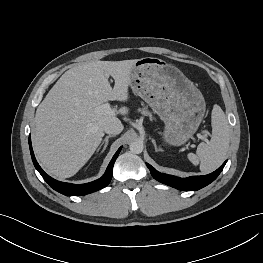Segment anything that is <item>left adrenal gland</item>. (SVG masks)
I'll return each instance as SVG.
<instances>
[{"mask_svg": "<svg viewBox=\"0 0 263 263\" xmlns=\"http://www.w3.org/2000/svg\"><path fill=\"white\" fill-rule=\"evenodd\" d=\"M151 142H152V144L154 145V148H155V151L157 152V151H162V149H158L157 148V145H156V142H155V140L152 138L151 139Z\"/></svg>", "mask_w": 263, "mask_h": 263, "instance_id": "1", "label": "left adrenal gland"}]
</instances>
